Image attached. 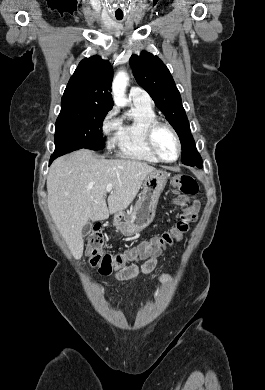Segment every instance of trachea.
Returning <instances> with one entry per match:
<instances>
[{
	"label": "trachea",
	"instance_id": "trachea-1",
	"mask_svg": "<svg viewBox=\"0 0 265 390\" xmlns=\"http://www.w3.org/2000/svg\"><path fill=\"white\" fill-rule=\"evenodd\" d=\"M122 18H117V20H121Z\"/></svg>",
	"mask_w": 265,
	"mask_h": 390
}]
</instances>
